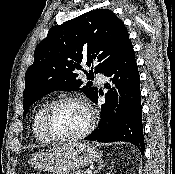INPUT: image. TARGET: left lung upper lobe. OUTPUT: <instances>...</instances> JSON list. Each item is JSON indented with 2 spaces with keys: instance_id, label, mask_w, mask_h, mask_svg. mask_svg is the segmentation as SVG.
Segmentation results:
<instances>
[{
  "instance_id": "5c2ea615",
  "label": "left lung upper lobe",
  "mask_w": 175,
  "mask_h": 174,
  "mask_svg": "<svg viewBox=\"0 0 175 174\" xmlns=\"http://www.w3.org/2000/svg\"><path fill=\"white\" fill-rule=\"evenodd\" d=\"M130 43L122 20L108 9L93 10L52 27L35 49L34 63L25 74L23 115L34 101L57 90H81L92 100L97 89L89 83L81 87L75 70L86 64L104 74Z\"/></svg>"
}]
</instances>
